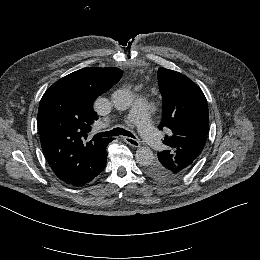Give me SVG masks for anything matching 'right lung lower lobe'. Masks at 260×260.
<instances>
[{
  "label": "right lung lower lobe",
  "instance_id": "1",
  "mask_svg": "<svg viewBox=\"0 0 260 260\" xmlns=\"http://www.w3.org/2000/svg\"><path fill=\"white\" fill-rule=\"evenodd\" d=\"M105 165H106V163L101 168H99L96 172H94L93 174H91V175H89L85 178L76 180V181L69 183V184L74 185V186H81V185H84V184L90 182L91 180H93L97 175H99L103 171V169L105 168Z\"/></svg>",
  "mask_w": 260,
  "mask_h": 260
}]
</instances>
